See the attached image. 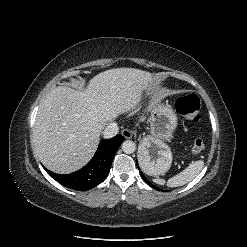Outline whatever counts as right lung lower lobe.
I'll list each match as a JSON object with an SVG mask.
<instances>
[{"mask_svg": "<svg viewBox=\"0 0 247 247\" xmlns=\"http://www.w3.org/2000/svg\"><path fill=\"white\" fill-rule=\"evenodd\" d=\"M123 140L124 138L121 134L111 139L103 140L90 162L76 172L58 175L48 169L46 171L53 179L65 187L80 191L89 190L106 178L114 155Z\"/></svg>", "mask_w": 247, "mask_h": 247, "instance_id": "98d812e1", "label": "right lung lower lobe"}]
</instances>
